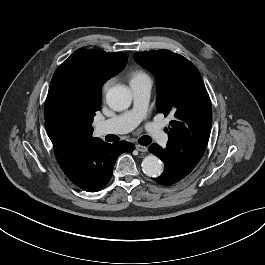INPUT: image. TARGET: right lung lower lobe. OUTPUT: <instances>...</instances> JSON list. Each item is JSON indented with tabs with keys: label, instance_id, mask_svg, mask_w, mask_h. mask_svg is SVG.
I'll return each instance as SVG.
<instances>
[{
	"label": "right lung lower lobe",
	"instance_id": "obj_1",
	"mask_svg": "<svg viewBox=\"0 0 265 265\" xmlns=\"http://www.w3.org/2000/svg\"><path fill=\"white\" fill-rule=\"evenodd\" d=\"M134 149L135 145L126 141L113 144L102 140L91 142L73 161L62 167V170L80 189L97 192L110 181L119 155Z\"/></svg>",
	"mask_w": 265,
	"mask_h": 265
}]
</instances>
